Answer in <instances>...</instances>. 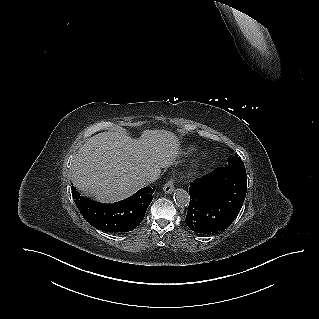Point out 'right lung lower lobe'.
<instances>
[{
	"mask_svg": "<svg viewBox=\"0 0 319 319\" xmlns=\"http://www.w3.org/2000/svg\"><path fill=\"white\" fill-rule=\"evenodd\" d=\"M154 189L155 186L144 187L113 204H101L80 196L75 187H72V196L82 216L93 227L106 232H127L134 230L143 220Z\"/></svg>",
	"mask_w": 319,
	"mask_h": 319,
	"instance_id": "right-lung-lower-lobe-1",
	"label": "right lung lower lobe"
}]
</instances>
